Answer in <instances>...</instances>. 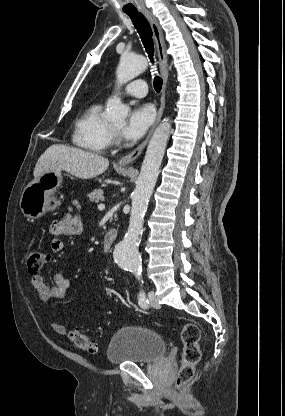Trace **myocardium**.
<instances>
[{
    "mask_svg": "<svg viewBox=\"0 0 285 416\" xmlns=\"http://www.w3.org/2000/svg\"><path fill=\"white\" fill-rule=\"evenodd\" d=\"M109 129H110V133H111V135H112V136H115V135H116V130H115V129H113L111 126H109Z\"/></svg>",
    "mask_w": 285,
    "mask_h": 416,
    "instance_id": "obj_1",
    "label": "myocardium"
}]
</instances>
